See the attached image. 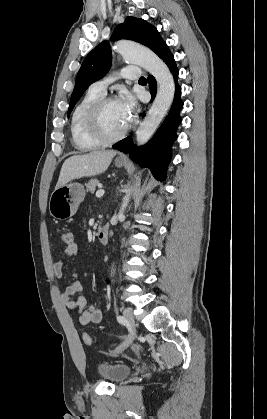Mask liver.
<instances>
[{
    "label": "liver",
    "mask_w": 267,
    "mask_h": 419,
    "mask_svg": "<svg viewBox=\"0 0 267 419\" xmlns=\"http://www.w3.org/2000/svg\"><path fill=\"white\" fill-rule=\"evenodd\" d=\"M116 155L113 150H95L87 154L74 155L62 165L56 188L81 177L94 176L107 170Z\"/></svg>",
    "instance_id": "liver-1"
}]
</instances>
